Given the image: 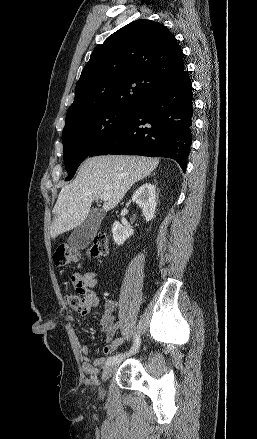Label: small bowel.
I'll use <instances>...</instances> for the list:
<instances>
[{
	"label": "small bowel",
	"mask_w": 257,
	"mask_h": 439,
	"mask_svg": "<svg viewBox=\"0 0 257 439\" xmlns=\"http://www.w3.org/2000/svg\"><path fill=\"white\" fill-rule=\"evenodd\" d=\"M72 283L75 289H83L86 295L85 307L81 312L82 315H87L91 309L99 306V297L93 290L96 284V276L94 273L74 274L72 276ZM114 308L115 303L113 301H107L103 306L102 314L99 318V327L106 335V343L102 348L96 350V353L109 355L124 344L122 337H115L118 331V324L115 322L113 316ZM79 349L84 373L88 376L98 375L100 368L106 364L107 359L105 357L91 359L89 356L90 349L85 344L80 345Z\"/></svg>",
	"instance_id": "c3829d8e"
}]
</instances>
